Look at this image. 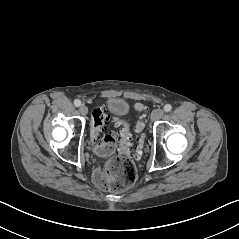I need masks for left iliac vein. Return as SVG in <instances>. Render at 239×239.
<instances>
[{"label":"left iliac vein","instance_id":"left-iliac-vein-1","mask_svg":"<svg viewBox=\"0 0 239 239\" xmlns=\"http://www.w3.org/2000/svg\"><path fill=\"white\" fill-rule=\"evenodd\" d=\"M164 115V111L160 108L158 109H154L151 113V120L152 121H156V120H159L163 117Z\"/></svg>","mask_w":239,"mask_h":239}]
</instances>
